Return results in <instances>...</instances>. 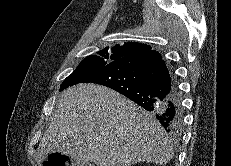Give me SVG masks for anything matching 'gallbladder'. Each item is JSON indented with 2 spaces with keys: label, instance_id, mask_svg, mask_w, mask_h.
<instances>
[{
  "label": "gallbladder",
  "instance_id": "gallbladder-1",
  "mask_svg": "<svg viewBox=\"0 0 231 166\" xmlns=\"http://www.w3.org/2000/svg\"><path fill=\"white\" fill-rule=\"evenodd\" d=\"M73 166H87V165H82V164L79 163L78 161L74 160V161H73Z\"/></svg>",
  "mask_w": 231,
  "mask_h": 166
}]
</instances>
